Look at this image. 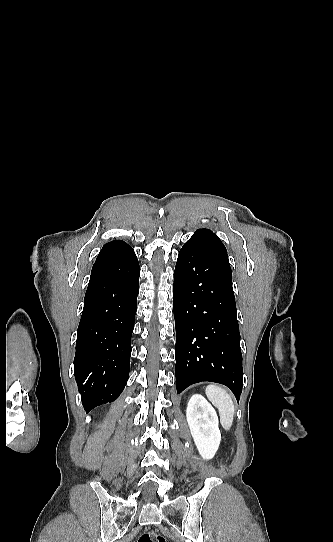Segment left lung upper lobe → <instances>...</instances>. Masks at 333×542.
<instances>
[{
	"mask_svg": "<svg viewBox=\"0 0 333 542\" xmlns=\"http://www.w3.org/2000/svg\"><path fill=\"white\" fill-rule=\"evenodd\" d=\"M189 240H197L210 249L228 257L227 250L221 240L208 229H198Z\"/></svg>",
	"mask_w": 333,
	"mask_h": 542,
	"instance_id": "1",
	"label": "left lung upper lobe"
}]
</instances>
